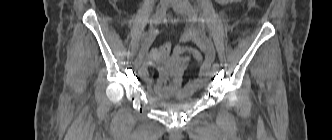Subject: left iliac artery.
I'll use <instances>...</instances> for the list:
<instances>
[{"mask_svg":"<svg viewBox=\"0 0 332 140\" xmlns=\"http://www.w3.org/2000/svg\"><path fill=\"white\" fill-rule=\"evenodd\" d=\"M185 8H186L187 15L189 16L191 21L196 22L198 20L197 13H196V10L193 8L192 4L189 2V0H185ZM214 67L219 69L220 68L219 63H215Z\"/></svg>","mask_w":332,"mask_h":140,"instance_id":"1","label":"left iliac artery"}]
</instances>
